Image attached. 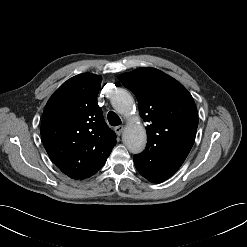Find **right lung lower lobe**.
<instances>
[{
	"mask_svg": "<svg viewBox=\"0 0 247 247\" xmlns=\"http://www.w3.org/2000/svg\"><path fill=\"white\" fill-rule=\"evenodd\" d=\"M101 168V167H100ZM99 168V169H100ZM99 169H97L96 171H94V172H92V173H90V174H88V175H86V176H84V177H82V178H79V179H84V178H87V177H90V176H92L93 174H95Z\"/></svg>",
	"mask_w": 247,
	"mask_h": 247,
	"instance_id": "98d812e1",
	"label": "right lung lower lobe"
}]
</instances>
